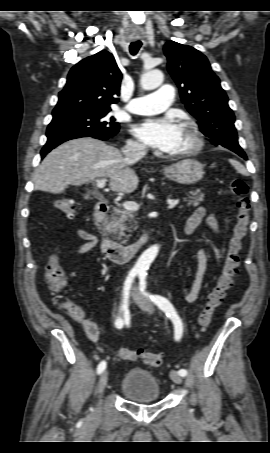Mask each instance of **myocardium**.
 Returning <instances> with one entry per match:
<instances>
[{
  "label": "myocardium",
  "mask_w": 270,
  "mask_h": 453,
  "mask_svg": "<svg viewBox=\"0 0 270 453\" xmlns=\"http://www.w3.org/2000/svg\"><path fill=\"white\" fill-rule=\"evenodd\" d=\"M180 125L188 129L192 138V144L185 150L176 153H168L166 156L169 158L190 157L197 154L203 148L204 140L195 122L190 119L184 118L180 121Z\"/></svg>",
  "instance_id": "1"
}]
</instances>
